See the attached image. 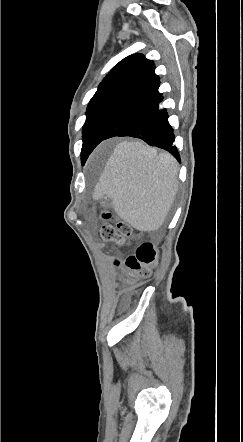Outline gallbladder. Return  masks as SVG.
I'll return each mask as SVG.
<instances>
[{
  "instance_id": "obj_1",
  "label": "gallbladder",
  "mask_w": 243,
  "mask_h": 442,
  "mask_svg": "<svg viewBox=\"0 0 243 442\" xmlns=\"http://www.w3.org/2000/svg\"><path fill=\"white\" fill-rule=\"evenodd\" d=\"M101 203L104 207L110 208L112 206V201L109 197L105 196L101 199Z\"/></svg>"
}]
</instances>
